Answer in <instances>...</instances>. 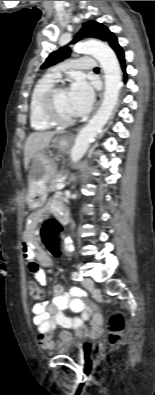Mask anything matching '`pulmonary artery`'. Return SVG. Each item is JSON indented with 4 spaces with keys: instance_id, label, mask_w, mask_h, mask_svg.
<instances>
[{
    "instance_id": "obj_1",
    "label": "pulmonary artery",
    "mask_w": 155,
    "mask_h": 395,
    "mask_svg": "<svg viewBox=\"0 0 155 395\" xmlns=\"http://www.w3.org/2000/svg\"><path fill=\"white\" fill-rule=\"evenodd\" d=\"M96 66V62L92 57L84 56L77 59L70 60L64 64L58 65L52 68L50 76L55 80H58L61 76V71L65 68H75L82 70H93Z\"/></svg>"
}]
</instances>
